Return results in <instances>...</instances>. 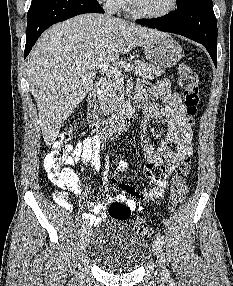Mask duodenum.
Returning <instances> with one entry per match:
<instances>
[{
    "label": "duodenum",
    "mask_w": 233,
    "mask_h": 286,
    "mask_svg": "<svg viewBox=\"0 0 233 286\" xmlns=\"http://www.w3.org/2000/svg\"><path fill=\"white\" fill-rule=\"evenodd\" d=\"M100 83H97L90 92L87 99V119L89 127L93 131L101 132L104 136L117 134L120 131L131 125L136 119V112L134 108L127 107L119 115L112 119L106 120L98 105V93Z\"/></svg>",
    "instance_id": "duodenum-1"
}]
</instances>
